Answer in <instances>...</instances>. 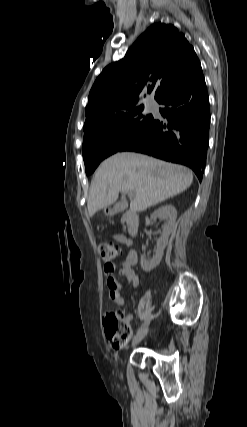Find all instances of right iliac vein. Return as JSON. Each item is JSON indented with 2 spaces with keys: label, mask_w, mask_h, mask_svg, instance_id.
<instances>
[{
  "label": "right iliac vein",
  "mask_w": 247,
  "mask_h": 427,
  "mask_svg": "<svg viewBox=\"0 0 247 427\" xmlns=\"http://www.w3.org/2000/svg\"><path fill=\"white\" fill-rule=\"evenodd\" d=\"M149 330V324H147L140 332H138L135 337L132 340V346H136L138 343H140L144 337L146 336L147 332Z\"/></svg>",
  "instance_id": "1"
}]
</instances>
